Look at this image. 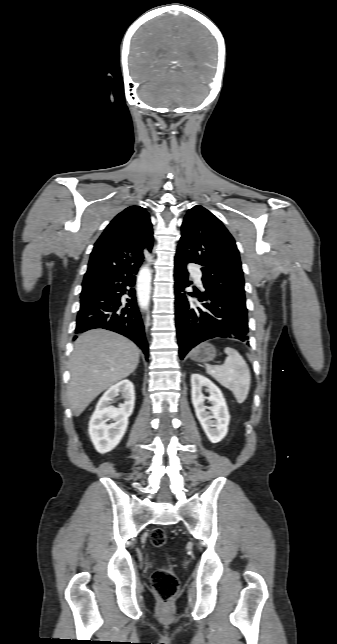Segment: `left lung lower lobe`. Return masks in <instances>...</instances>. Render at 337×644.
Listing matches in <instances>:
<instances>
[{"label": "left lung lower lobe", "instance_id": "0a47b994", "mask_svg": "<svg viewBox=\"0 0 337 644\" xmlns=\"http://www.w3.org/2000/svg\"><path fill=\"white\" fill-rule=\"evenodd\" d=\"M186 263L175 258V314L180 358L197 344L221 337L249 344L247 311L227 296L204 284V292L188 293L200 303H191L184 293L189 286Z\"/></svg>", "mask_w": 337, "mask_h": 644}]
</instances>
